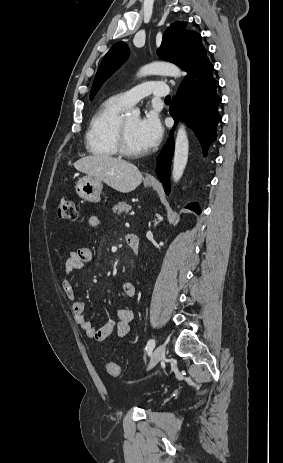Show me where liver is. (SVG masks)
<instances>
[{
    "label": "liver",
    "instance_id": "6515ba94",
    "mask_svg": "<svg viewBox=\"0 0 283 463\" xmlns=\"http://www.w3.org/2000/svg\"><path fill=\"white\" fill-rule=\"evenodd\" d=\"M74 167L122 193L135 190L143 179L142 173L135 165L107 155L83 157L74 163Z\"/></svg>",
    "mask_w": 283,
    "mask_h": 463
}]
</instances>
